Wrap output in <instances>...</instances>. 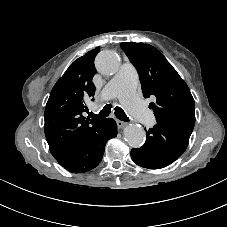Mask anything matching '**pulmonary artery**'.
Masks as SVG:
<instances>
[{
    "mask_svg": "<svg viewBox=\"0 0 227 227\" xmlns=\"http://www.w3.org/2000/svg\"><path fill=\"white\" fill-rule=\"evenodd\" d=\"M137 82L138 74L135 68L131 64L124 63L101 90L98 100L118 97L139 123L150 126L154 118L152 113L135 94Z\"/></svg>",
    "mask_w": 227,
    "mask_h": 227,
    "instance_id": "1",
    "label": "pulmonary artery"
}]
</instances>
